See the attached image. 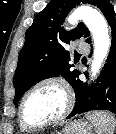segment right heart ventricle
<instances>
[{"instance_id": "1", "label": "right heart ventricle", "mask_w": 116, "mask_h": 134, "mask_svg": "<svg viewBox=\"0 0 116 134\" xmlns=\"http://www.w3.org/2000/svg\"><path fill=\"white\" fill-rule=\"evenodd\" d=\"M20 130H21V131H27L28 128L24 127V126L20 123Z\"/></svg>"}]
</instances>
